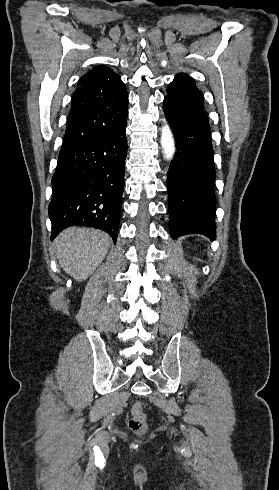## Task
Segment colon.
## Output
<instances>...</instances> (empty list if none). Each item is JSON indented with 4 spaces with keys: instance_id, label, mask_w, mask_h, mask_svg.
Masks as SVG:
<instances>
[{
    "instance_id": "obj_1",
    "label": "colon",
    "mask_w": 279,
    "mask_h": 490,
    "mask_svg": "<svg viewBox=\"0 0 279 490\" xmlns=\"http://www.w3.org/2000/svg\"><path fill=\"white\" fill-rule=\"evenodd\" d=\"M145 422V405L142 401H138L131 409V419L129 421V427L132 432L138 433L145 429Z\"/></svg>"
}]
</instances>
